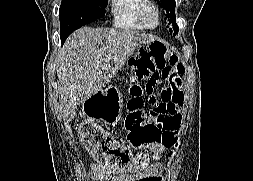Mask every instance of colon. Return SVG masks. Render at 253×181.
Returning <instances> with one entry per match:
<instances>
[{"instance_id": "1", "label": "colon", "mask_w": 253, "mask_h": 181, "mask_svg": "<svg viewBox=\"0 0 253 181\" xmlns=\"http://www.w3.org/2000/svg\"><path fill=\"white\" fill-rule=\"evenodd\" d=\"M174 52L175 47H168L165 41H150L149 48H140V53H149L155 58L158 67L170 68L173 75L169 82L181 87L184 68L177 62ZM144 93L139 85L130 88L124 128L131 146L158 154L176 142L173 131L177 128L178 117L172 113L171 106L173 103L180 105L182 95L174 93L171 96L169 92L158 88L155 93H145L147 99L144 100ZM79 136L98 164L111 172H134L151 163L150 156L133 153L129 146L94 124L84 122L79 128Z\"/></svg>"}]
</instances>
